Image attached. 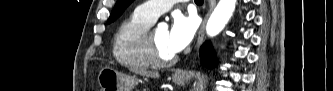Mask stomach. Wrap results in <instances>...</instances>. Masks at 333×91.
I'll return each instance as SVG.
<instances>
[{"instance_id": "stomach-1", "label": "stomach", "mask_w": 333, "mask_h": 91, "mask_svg": "<svg viewBox=\"0 0 333 91\" xmlns=\"http://www.w3.org/2000/svg\"><path fill=\"white\" fill-rule=\"evenodd\" d=\"M185 77H173V82L179 86L185 84ZM100 91H132L138 79L118 72L111 67H103L97 77Z\"/></svg>"}]
</instances>
